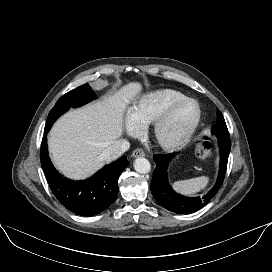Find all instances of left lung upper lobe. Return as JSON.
<instances>
[{
    "mask_svg": "<svg viewBox=\"0 0 272 272\" xmlns=\"http://www.w3.org/2000/svg\"><path fill=\"white\" fill-rule=\"evenodd\" d=\"M218 122L212 129V134L216 136L219 141L230 143L229 132L224 120V117L220 111L217 112Z\"/></svg>",
    "mask_w": 272,
    "mask_h": 272,
    "instance_id": "obj_1",
    "label": "left lung upper lobe"
}]
</instances>
